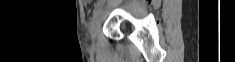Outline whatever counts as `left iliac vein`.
I'll use <instances>...</instances> for the list:
<instances>
[{"label":"left iliac vein","mask_w":235,"mask_h":62,"mask_svg":"<svg viewBox=\"0 0 235 62\" xmlns=\"http://www.w3.org/2000/svg\"><path fill=\"white\" fill-rule=\"evenodd\" d=\"M102 20H103V10H100V12L94 17L90 26V34L93 40L96 38L99 32Z\"/></svg>","instance_id":"1"}]
</instances>
